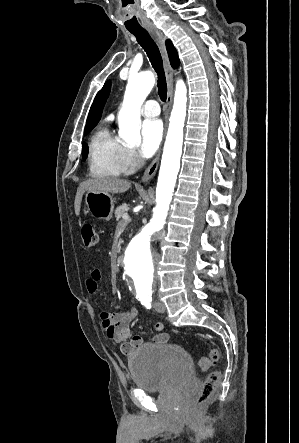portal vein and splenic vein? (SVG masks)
Returning <instances> with one entry per match:
<instances>
[{
    "instance_id": "obj_1",
    "label": "portal vein and splenic vein",
    "mask_w": 299,
    "mask_h": 443,
    "mask_svg": "<svg viewBox=\"0 0 299 443\" xmlns=\"http://www.w3.org/2000/svg\"><path fill=\"white\" fill-rule=\"evenodd\" d=\"M122 218H123V220H125V221L130 220V217H129V215H128L127 213L124 214V215L122 216Z\"/></svg>"
}]
</instances>
